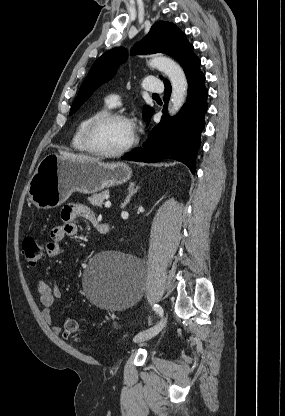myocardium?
I'll return each mask as SVG.
<instances>
[{
  "mask_svg": "<svg viewBox=\"0 0 285 416\" xmlns=\"http://www.w3.org/2000/svg\"><path fill=\"white\" fill-rule=\"evenodd\" d=\"M111 120H119V121L125 122L130 126V129H131V124H130L129 119L122 113L107 111V112H103L93 117L86 125L85 130H84V136H83L84 143L91 153L98 155V156H104V157H119L127 153L134 145L135 138H134L132 131H131L130 139L127 142V144L118 150H106V149L99 147L95 143L94 137H93L95 129L102 123L111 121Z\"/></svg>",
  "mask_w": 285,
  "mask_h": 416,
  "instance_id": "myocardium-1",
  "label": "myocardium"
}]
</instances>
